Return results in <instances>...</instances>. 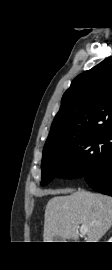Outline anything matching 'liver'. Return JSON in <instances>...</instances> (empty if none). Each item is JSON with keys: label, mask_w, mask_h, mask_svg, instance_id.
<instances>
[{"label": "liver", "mask_w": 112, "mask_h": 270, "mask_svg": "<svg viewBox=\"0 0 112 270\" xmlns=\"http://www.w3.org/2000/svg\"><path fill=\"white\" fill-rule=\"evenodd\" d=\"M52 193L71 194L55 196L48 201L44 217V242H55L56 236L62 240H78L81 224L87 225V242H98L111 228L112 197L67 189Z\"/></svg>", "instance_id": "1"}]
</instances>
